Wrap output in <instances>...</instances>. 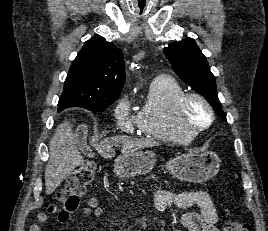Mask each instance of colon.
Here are the masks:
<instances>
[{
	"instance_id": "colon-1",
	"label": "colon",
	"mask_w": 268,
	"mask_h": 231,
	"mask_svg": "<svg viewBox=\"0 0 268 231\" xmlns=\"http://www.w3.org/2000/svg\"><path fill=\"white\" fill-rule=\"evenodd\" d=\"M96 168L93 164H88L73 173L66 185L57 193V199L62 201L63 207L57 214L59 221H65L69 218L79 206L80 198L87 191ZM43 219V216H41ZM227 231H252V227L247 223L229 222L226 226Z\"/></svg>"
}]
</instances>
